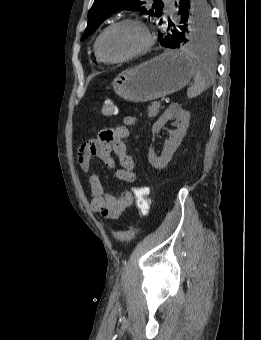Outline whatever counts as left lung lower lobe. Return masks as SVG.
Instances as JSON below:
<instances>
[{
	"instance_id": "0a47b994",
	"label": "left lung lower lobe",
	"mask_w": 261,
	"mask_h": 340,
	"mask_svg": "<svg viewBox=\"0 0 261 340\" xmlns=\"http://www.w3.org/2000/svg\"><path fill=\"white\" fill-rule=\"evenodd\" d=\"M190 2L191 0H178V2H176L175 4L178 7L179 13L181 16H183L184 14H186V12L188 11L189 7H190ZM206 2V0H205ZM170 22H175L172 20L168 21V24ZM161 46L163 47H168V48H178L179 45V41L178 38H176L175 36H166L161 40Z\"/></svg>"
}]
</instances>
